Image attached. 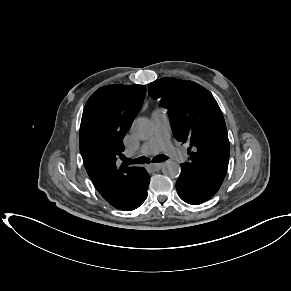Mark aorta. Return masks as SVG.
I'll return each instance as SVG.
<instances>
[{
    "instance_id": "aorta-1",
    "label": "aorta",
    "mask_w": 291,
    "mask_h": 291,
    "mask_svg": "<svg viewBox=\"0 0 291 291\" xmlns=\"http://www.w3.org/2000/svg\"><path fill=\"white\" fill-rule=\"evenodd\" d=\"M132 133L141 140L148 139L153 134V125L147 118H137L132 125ZM162 172L169 178H177L180 175V165L174 161H166L162 167Z\"/></svg>"
}]
</instances>
